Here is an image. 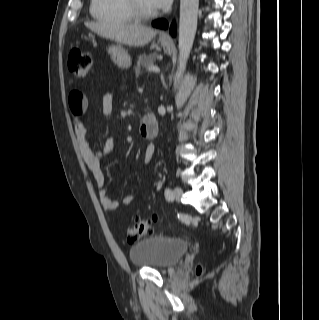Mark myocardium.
<instances>
[{"label": "myocardium", "instance_id": "1", "mask_svg": "<svg viewBox=\"0 0 319 320\" xmlns=\"http://www.w3.org/2000/svg\"><path fill=\"white\" fill-rule=\"evenodd\" d=\"M128 8L134 19L143 21L157 16L158 12L154 10H146L142 7L139 0H126Z\"/></svg>", "mask_w": 319, "mask_h": 320}]
</instances>
